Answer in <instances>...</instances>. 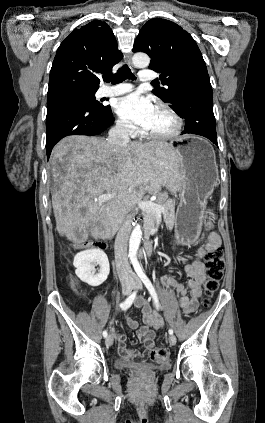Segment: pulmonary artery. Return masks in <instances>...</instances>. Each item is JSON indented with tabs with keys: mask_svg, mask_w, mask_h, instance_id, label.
<instances>
[{
	"mask_svg": "<svg viewBox=\"0 0 265 423\" xmlns=\"http://www.w3.org/2000/svg\"><path fill=\"white\" fill-rule=\"evenodd\" d=\"M139 78L143 82H151L157 78V74L150 70H142ZM133 89L131 84L121 83L113 87H105L101 90V95L105 97L118 96L130 92Z\"/></svg>",
	"mask_w": 265,
	"mask_h": 423,
	"instance_id": "obj_1",
	"label": "pulmonary artery"
}]
</instances>
